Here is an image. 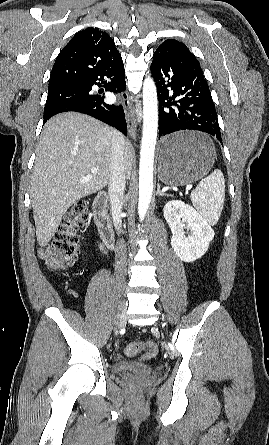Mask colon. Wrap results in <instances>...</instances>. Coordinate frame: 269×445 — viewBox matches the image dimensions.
<instances>
[{
	"mask_svg": "<svg viewBox=\"0 0 269 445\" xmlns=\"http://www.w3.org/2000/svg\"><path fill=\"white\" fill-rule=\"evenodd\" d=\"M88 218V204L85 200L75 202L66 212L53 240L43 246L39 255L44 263L53 270H63L70 267L78 256L79 230ZM144 351L145 358L156 355V346L151 343H131L125 353L134 356Z\"/></svg>",
	"mask_w": 269,
	"mask_h": 445,
	"instance_id": "colon-1",
	"label": "colon"
}]
</instances>
